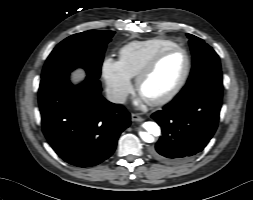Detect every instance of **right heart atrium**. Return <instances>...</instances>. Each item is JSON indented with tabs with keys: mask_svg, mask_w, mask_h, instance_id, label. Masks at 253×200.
Instances as JSON below:
<instances>
[{
	"mask_svg": "<svg viewBox=\"0 0 253 200\" xmlns=\"http://www.w3.org/2000/svg\"><path fill=\"white\" fill-rule=\"evenodd\" d=\"M101 76L109 98L115 103L125 102L132 90V82L119 60L106 57L101 65Z\"/></svg>",
	"mask_w": 253,
	"mask_h": 200,
	"instance_id": "1",
	"label": "right heart atrium"
}]
</instances>
